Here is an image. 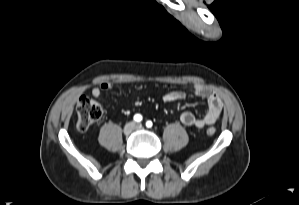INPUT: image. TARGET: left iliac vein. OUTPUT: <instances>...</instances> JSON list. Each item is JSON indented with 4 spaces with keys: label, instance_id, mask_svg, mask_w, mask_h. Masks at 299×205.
<instances>
[{
    "label": "left iliac vein",
    "instance_id": "4c4485c4",
    "mask_svg": "<svg viewBox=\"0 0 299 205\" xmlns=\"http://www.w3.org/2000/svg\"><path fill=\"white\" fill-rule=\"evenodd\" d=\"M142 127H143V126H142L141 123H138V124H136V126H135L136 129H141Z\"/></svg>",
    "mask_w": 299,
    "mask_h": 205
}]
</instances>
